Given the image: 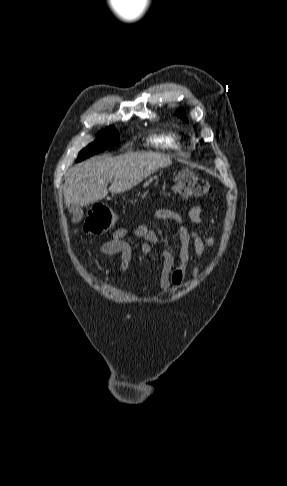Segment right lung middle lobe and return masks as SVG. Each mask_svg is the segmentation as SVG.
<instances>
[{
  "mask_svg": "<svg viewBox=\"0 0 287 486\" xmlns=\"http://www.w3.org/2000/svg\"><path fill=\"white\" fill-rule=\"evenodd\" d=\"M119 142V135L111 127H109L104 133L100 134L97 140L89 144L84 148L77 158V162H80L94 154H97L108 148L110 144H117Z\"/></svg>",
  "mask_w": 287,
  "mask_h": 486,
  "instance_id": "dd1d6c3e",
  "label": "right lung middle lobe"
}]
</instances>
